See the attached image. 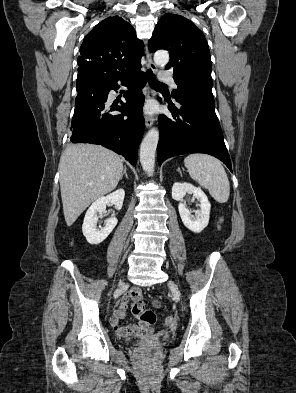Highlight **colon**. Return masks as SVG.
<instances>
[{"label": "colon", "mask_w": 296, "mask_h": 393, "mask_svg": "<svg viewBox=\"0 0 296 393\" xmlns=\"http://www.w3.org/2000/svg\"><path fill=\"white\" fill-rule=\"evenodd\" d=\"M132 311L133 314L140 319L141 322L146 323L147 325H153L156 323V314L145 308L144 302L142 299L132 300ZM165 324L167 327H174L176 321L174 318H166Z\"/></svg>", "instance_id": "obj_1"}]
</instances>
